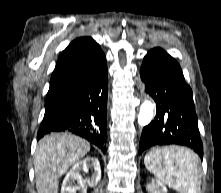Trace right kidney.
I'll return each mask as SVG.
<instances>
[{
	"mask_svg": "<svg viewBox=\"0 0 221 193\" xmlns=\"http://www.w3.org/2000/svg\"><path fill=\"white\" fill-rule=\"evenodd\" d=\"M89 168L93 169L92 177L91 179L84 180L80 173L81 171L88 173ZM100 180L101 168L98 159L87 157L83 161L77 162L66 174L62 183L61 193H76L77 190L86 193L87 185L95 186ZM75 182H77L79 186L74 185Z\"/></svg>",
	"mask_w": 221,
	"mask_h": 193,
	"instance_id": "obj_1",
	"label": "right kidney"
}]
</instances>
